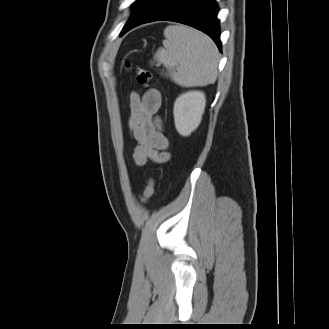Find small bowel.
Returning a JSON list of instances; mask_svg holds the SVG:
<instances>
[{
    "label": "small bowel",
    "instance_id": "obj_1",
    "mask_svg": "<svg viewBox=\"0 0 329 329\" xmlns=\"http://www.w3.org/2000/svg\"><path fill=\"white\" fill-rule=\"evenodd\" d=\"M161 102L162 96L157 89L148 90L142 96L138 92L130 94L128 126L136 142L133 159L138 166L149 160L165 163L170 159L169 142L158 116Z\"/></svg>",
    "mask_w": 329,
    "mask_h": 329
}]
</instances>
